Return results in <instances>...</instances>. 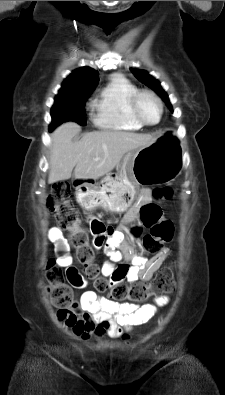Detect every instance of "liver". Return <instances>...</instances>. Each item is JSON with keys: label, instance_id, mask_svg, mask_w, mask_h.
Segmentation results:
<instances>
[{"label": "liver", "instance_id": "6515ba94", "mask_svg": "<svg viewBox=\"0 0 225 395\" xmlns=\"http://www.w3.org/2000/svg\"><path fill=\"white\" fill-rule=\"evenodd\" d=\"M80 131L77 123L66 122L52 133L49 184L71 178L74 168L75 180H96L118 166L126 153L155 141L151 134L106 130L73 142Z\"/></svg>", "mask_w": 225, "mask_h": 395}]
</instances>
